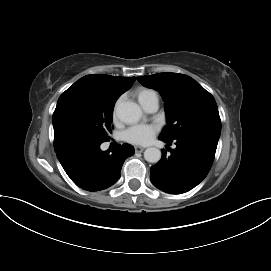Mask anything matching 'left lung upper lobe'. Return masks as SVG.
I'll list each match as a JSON object with an SVG mask.
<instances>
[{
	"label": "left lung upper lobe",
	"instance_id": "left-lung-upper-lobe-1",
	"mask_svg": "<svg viewBox=\"0 0 271 271\" xmlns=\"http://www.w3.org/2000/svg\"><path fill=\"white\" fill-rule=\"evenodd\" d=\"M137 80L158 90L164 99L167 126L160 138L168 141L185 135L219 138L221 120L215 99L190 76L166 72Z\"/></svg>",
	"mask_w": 271,
	"mask_h": 271
}]
</instances>
